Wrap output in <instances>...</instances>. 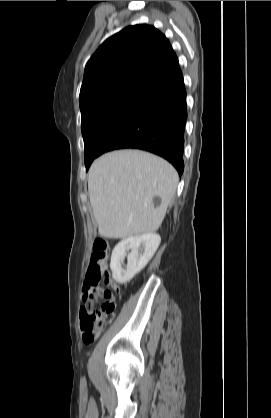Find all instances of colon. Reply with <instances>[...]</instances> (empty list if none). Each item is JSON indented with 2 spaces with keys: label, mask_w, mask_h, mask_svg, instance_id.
<instances>
[{
  "label": "colon",
  "mask_w": 271,
  "mask_h": 418,
  "mask_svg": "<svg viewBox=\"0 0 271 418\" xmlns=\"http://www.w3.org/2000/svg\"><path fill=\"white\" fill-rule=\"evenodd\" d=\"M108 245L103 239H96L93 244V252L90 258V265L86 276L89 289L83 294L85 306L80 312V324L83 341L86 344L92 343L100 329L107 321V317L115 310V300L110 290H104L102 293L103 303L98 308H93L96 298V286L100 282L110 281L107 272Z\"/></svg>",
  "instance_id": "5ec220e1"
}]
</instances>
